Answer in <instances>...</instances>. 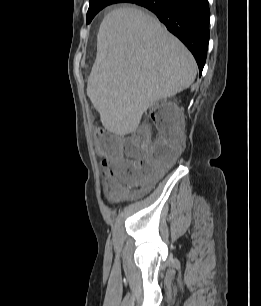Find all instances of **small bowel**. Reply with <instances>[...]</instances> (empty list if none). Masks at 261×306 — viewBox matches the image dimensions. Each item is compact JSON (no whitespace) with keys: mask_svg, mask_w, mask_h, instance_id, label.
Instances as JSON below:
<instances>
[{"mask_svg":"<svg viewBox=\"0 0 261 306\" xmlns=\"http://www.w3.org/2000/svg\"><path fill=\"white\" fill-rule=\"evenodd\" d=\"M122 159H125V157H122ZM114 162H112L109 158L104 159L102 161V167L105 169L107 173H110V169L113 166Z\"/></svg>","mask_w":261,"mask_h":306,"instance_id":"small-bowel-1","label":"small bowel"}]
</instances>
